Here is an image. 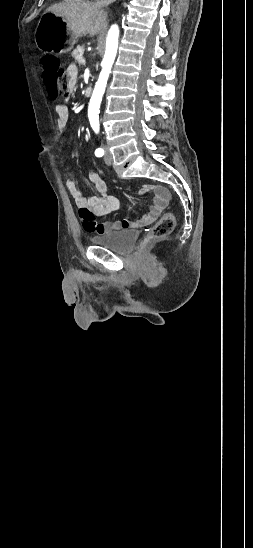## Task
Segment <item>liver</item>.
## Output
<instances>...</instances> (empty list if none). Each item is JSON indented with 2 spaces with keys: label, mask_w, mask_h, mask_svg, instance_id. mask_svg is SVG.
I'll return each instance as SVG.
<instances>
[{
  "label": "liver",
  "mask_w": 253,
  "mask_h": 548,
  "mask_svg": "<svg viewBox=\"0 0 253 548\" xmlns=\"http://www.w3.org/2000/svg\"><path fill=\"white\" fill-rule=\"evenodd\" d=\"M46 12L62 17L74 39L94 36L102 29L106 13L98 2H63L51 5Z\"/></svg>",
  "instance_id": "1"
}]
</instances>
